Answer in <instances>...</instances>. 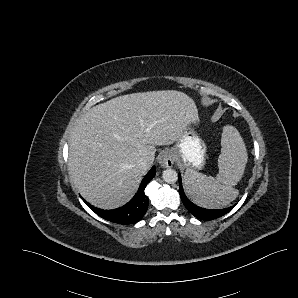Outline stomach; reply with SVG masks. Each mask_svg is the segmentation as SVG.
<instances>
[{"label":"stomach","instance_id":"stomach-1","mask_svg":"<svg viewBox=\"0 0 298 298\" xmlns=\"http://www.w3.org/2000/svg\"><path fill=\"white\" fill-rule=\"evenodd\" d=\"M170 151L175 163L186 170L201 171L207 164L208 145L198 129L190 122L183 125Z\"/></svg>","mask_w":298,"mask_h":298}]
</instances>
